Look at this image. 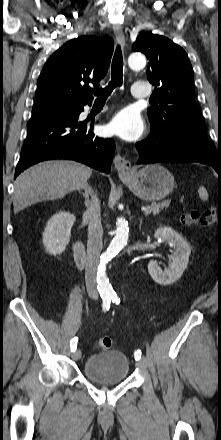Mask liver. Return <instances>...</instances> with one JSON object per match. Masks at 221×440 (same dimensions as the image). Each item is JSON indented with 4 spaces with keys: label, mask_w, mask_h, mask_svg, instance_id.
<instances>
[{
    "label": "liver",
    "mask_w": 221,
    "mask_h": 440,
    "mask_svg": "<svg viewBox=\"0 0 221 440\" xmlns=\"http://www.w3.org/2000/svg\"><path fill=\"white\" fill-rule=\"evenodd\" d=\"M92 169L73 161H46L21 173L14 183V211L56 200L87 184Z\"/></svg>",
    "instance_id": "1"
}]
</instances>
